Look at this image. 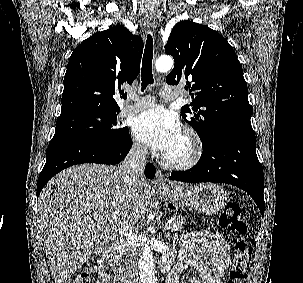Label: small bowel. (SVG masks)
Wrapping results in <instances>:
<instances>
[{
    "instance_id": "small-bowel-1",
    "label": "small bowel",
    "mask_w": 303,
    "mask_h": 283,
    "mask_svg": "<svg viewBox=\"0 0 303 283\" xmlns=\"http://www.w3.org/2000/svg\"><path fill=\"white\" fill-rule=\"evenodd\" d=\"M180 252L171 272L175 283H179L181 273L189 266L195 268L199 278H191L187 283H222L225 270L229 266V245L217 233L189 232L179 242ZM169 252L166 259L171 260ZM104 260L96 267V283H112V277L106 269Z\"/></svg>"
}]
</instances>
